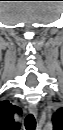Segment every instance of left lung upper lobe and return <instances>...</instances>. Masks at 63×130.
Wrapping results in <instances>:
<instances>
[{
    "label": "left lung upper lobe",
    "instance_id": "left-lung-upper-lobe-1",
    "mask_svg": "<svg viewBox=\"0 0 63 130\" xmlns=\"http://www.w3.org/2000/svg\"><path fill=\"white\" fill-rule=\"evenodd\" d=\"M63 116V109H60L56 112V114L52 117V122L55 130H58L61 126V120Z\"/></svg>",
    "mask_w": 63,
    "mask_h": 130
}]
</instances>
